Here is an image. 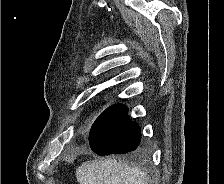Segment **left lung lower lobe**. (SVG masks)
<instances>
[{
	"instance_id": "1",
	"label": "left lung lower lobe",
	"mask_w": 224,
	"mask_h": 184,
	"mask_svg": "<svg viewBox=\"0 0 224 184\" xmlns=\"http://www.w3.org/2000/svg\"><path fill=\"white\" fill-rule=\"evenodd\" d=\"M140 127L128 116L125 105L114 104L104 110L89 133L91 149L98 155L125 154L139 148Z\"/></svg>"
}]
</instances>
